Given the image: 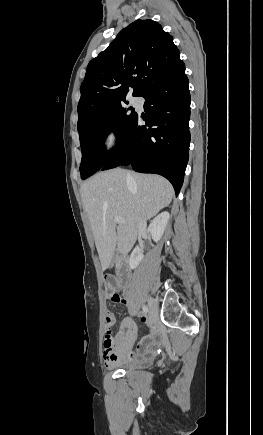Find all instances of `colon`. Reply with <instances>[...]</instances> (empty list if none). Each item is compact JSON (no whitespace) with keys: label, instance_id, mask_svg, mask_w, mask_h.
Segmentation results:
<instances>
[{"label":"colon","instance_id":"5ec220e1","mask_svg":"<svg viewBox=\"0 0 263 435\" xmlns=\"http://www.w3.org/2000/svg\"><path fill=\"white\" fill-rule=\"evenodd\" d=\"M105 286L108 290V298L113 303H119L121 301V296L114 291L115 279L112 276L105 277ZM112 326L107 323V332L104 338V348L106 350H113L115 348V343L113 342V337L111 335L110 328Z\"/></svg>","mask_w":263,"mask_h":435}]
</instances>
